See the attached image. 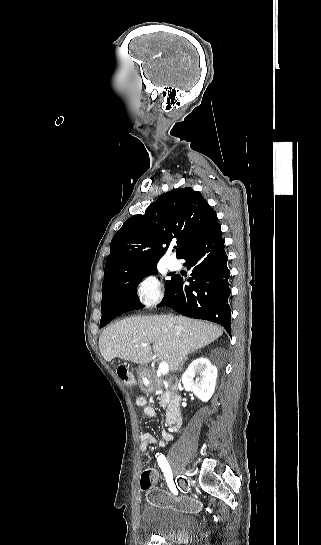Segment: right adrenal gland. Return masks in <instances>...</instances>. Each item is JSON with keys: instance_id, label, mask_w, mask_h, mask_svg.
<instances>
[{"instance_id": "obj_1", "label": "right adrenal gland", "mask_w": 321, "mask_h": 545, "mask_svg": "<svg viewBox=\"0 0 321 545\" xmlns=\"http://www.w3.org/2000/svg\"><path fill=\"white\" fill-rule=\"evenodd\" d=\"M198 349H196V351H194V353H197ZM186 359H188V357H184L183 361H181V365L179 367V371H181L183 365H184V361H186Z\"/></svg>"}]
</instances>
